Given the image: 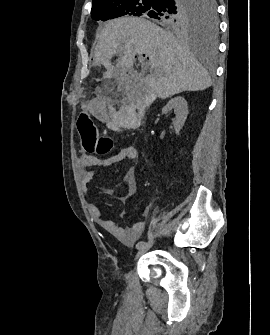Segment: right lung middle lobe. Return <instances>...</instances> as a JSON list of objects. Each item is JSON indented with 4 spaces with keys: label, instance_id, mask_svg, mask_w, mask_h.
I'll use <instances>...</instances> for the list:
<instances>
[{
    "label": "right lung middle lobe",
    "instance_id": "right-lung-middle-lobe-1",
    "mask_svg": "<svg viewBox=\"0 0 270 335\" xmlns=\"http://www.w3.org/2000/svg\"><path fill=\"white\" fill-rule=\"evenodd\" d=\"M131 15L148 16L172 29L203 26L211 34L217 30L214 0H102L91 10L93 20Z\"/></svg>",
    "mask_w": 270,
    "mask_h": 335
}]
</instances>
